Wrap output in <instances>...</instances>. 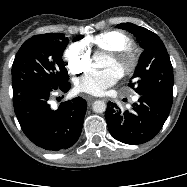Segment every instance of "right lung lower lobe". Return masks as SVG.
Returning a JSON list of instances; mask_svg holds the SVG:
<instances>
[{
	"mask_svg": "<svg viewBox=\"0 0 187 187\" xmlns=\"http://www.w3.org/2000/svg\"><path fill=\"white\" fill-rule=\"evenodd\" d=\"M70 83L61 86L24 88L13 95L14 110L24 134L37 146L59 151L74 145L82 131L86 101L77 97L62 102L57 110L48 104L53 90L67 92Z\"/></svg>",
	"mask_w": 187,
	"mask_h": 187,
	"instance_id": "obj_1",
	"label": "right lung lower lobe"
}]
</instances>
